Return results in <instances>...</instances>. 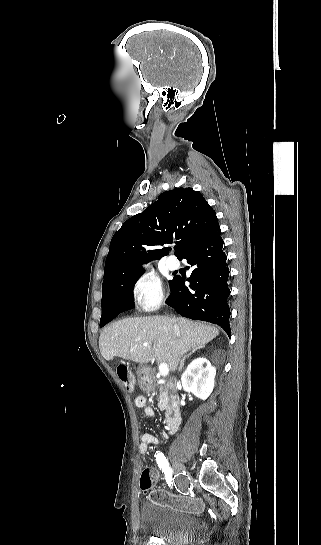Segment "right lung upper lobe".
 <instances>
[{"mask_svg": "<svg viewBox=\"0 0 321 545\" xmlns=\"http://www.w3.org/2000/svg\"><path fill=\"white\" fill-rule=\"evenodd\" d=\"M215 211L202 194L192 188L163 192L142 213L124 222L114 234L105 263L103 289L117 287L127 276L142 271L144 261L160 259L168 248H145L171 244L177 240L175 255L186 253L217 227Z\"/></svg>", "mask_w": 321, "mask_h": 545, "instance_id": "obj_1", "label": "right lung upper lobe"}]
</instances>
